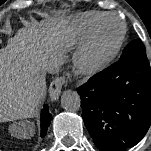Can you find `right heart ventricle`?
I'll use <instances>...</instances> for the list:
<instances>
[{
  "instance_id": "1",
  "label": "right heart ventricle",
  "mask_w": 151,
  "mask_h": 151,
  "mask_svg": "<svg viewBox=\"0 0 151 151\" xmlns=\"http://www.w3.org/2000/svg\"><path fill=\"white\" fill-rule=\"evenodd\" d=\"M105 14L107 13L102 11L84 12L76 18L75 22L79 27V29L81 30V32L84 35H87L90 32V30L93 28L95 23Z\"/></svg>"
}]
</instances>
